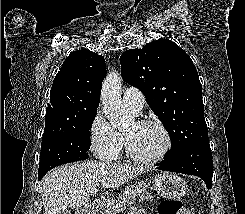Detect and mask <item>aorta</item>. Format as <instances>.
I'll return each mask as SVG.
<instances>
[{
  "instance_id": "762f6f07",
  "label": "aorta",
  "mask_w": 245,
  "mask_h": 214,
  "mask_svg": "<svg viewBox=\"0 0 245 214\" xmlns=\"http://www.w3.org/2000/svg\"><path fill=\"white\" fill-rule=\"evenodd\" d=\"M122 77L116 72L110 73L102 84L101 102L103 111L115 128L125 127L131 120L121 100Z\"/></svg>"
}]
</instances>
